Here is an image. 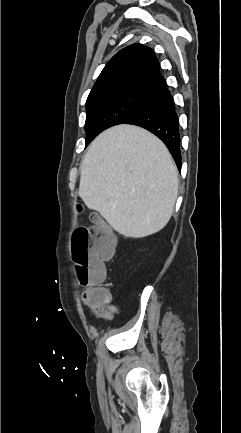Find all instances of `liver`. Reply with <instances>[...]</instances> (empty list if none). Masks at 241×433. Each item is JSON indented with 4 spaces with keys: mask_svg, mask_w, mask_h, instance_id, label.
Wrapping results in <instances>:
<instances>
[{
    "mask_svg": "<svg viewBox=\"0 0 241 433\" xmlns=\"http://www.w3.org/2000/svg\"><path fill=\"white\" fill-rule=\"evenodd\" d=\"M78 194L119 234L143 238L169 222L178 171L164 143L134 125H118L90 144L80 166Z\"/></svg>",
    "mask_w": 241,
    "mask_h": 433,
    "instance_id": "obj_1",
    "label": "liver"
}]
</instances>
